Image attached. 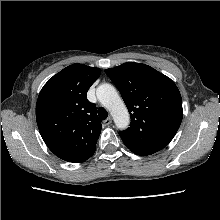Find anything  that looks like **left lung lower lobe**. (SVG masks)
I'll list each match as a JSON object with an SVG mask.
<instances>
[{"instance_id":"left-lung-lower-lobe-1","label":"left lung lower lobe","mask_w":220,"mask_h":220,"mask_svg":"<svg viewBox=\"0 0 220 220\" xmlns=\"http://www.w3.org/2000/svg\"><path fill=\"white\" fill-rule=\"evenodd\" d=\"M135 154L141 155V156H146V155H150L153 153H149V152H138V151H134Z\"/></svg>"}]
</instances>
